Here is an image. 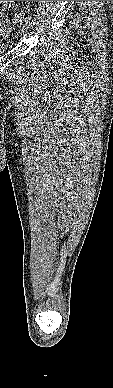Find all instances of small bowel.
Returning a JSON list of instances; mask_svg holds the SVG:
<instances>
[{
  "label": "small bowel",
  "mask_w": 113,
  "mask_h": 388,
  "mask_svg": "<svg viewBox=\"0 0 113 388\" xmlns=\"http://www.w3.org/2000/svg\"><path fill=\"white\" fill-rule=\"evenodd\" d=\"M3 2V4H2ZM14 6V1H1V4H0V22L2 20L8 22L7 18H6V15L4 14V11L7 9V8H12Z\"/></svg>",
  "instance_id": "small-bowel-1"
}]
</instances>
